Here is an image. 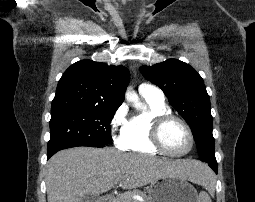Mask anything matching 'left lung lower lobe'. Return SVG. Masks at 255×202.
Returning <instances> with one entry per match:
<instances>
[{"label":"left lung lower lobe","instance_id":"0a47b994","mask_svg":"<svg viewBox=\"0 0 255 202\" xmlns=\"http://www.w3.org/2000/svg\"><path fill=\"white\" fill-rule=\"evenodd\" d=\"M206 163H208V165L217 173L218 170V166H217V162L213 161V160H203Z\"/></svg>","mask_w":255,"mask_h":202}]
</instances>
